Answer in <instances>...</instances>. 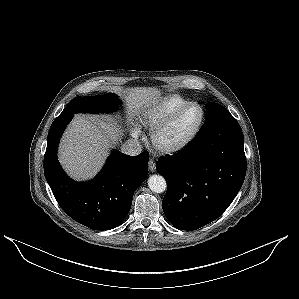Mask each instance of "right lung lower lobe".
<instances>
[{"instance_id": "obj_1", "label": "right lung lower lobe", "mask_w": 299, "mask_h": 299, "mask_svg": "<svg viewBox=\"0 0 299 299\" xmlns=\"http://www.w3.org/2000/svg\"><path fill=\"white\" fill-rule=\"evenodd\" d=\"M74 114H60L52 123L44 173L60 207L75 221L97 231L120 225L127 216L135 190L148 174L147 152L129 156L113 151L104 168L88 182H75L61 168L57 149L61 134Z\"/></svg>"}]
</instances>
